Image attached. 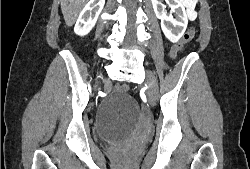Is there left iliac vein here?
Segmentation results:
<instances>
[{"label": "left iliac vein", "instance_id": "obj_1", "mask_svg": "<svg viewBox=\"0 0 250 169\" xmlns=\"http://www.w3.org/2000/svg\"><path fill=\"white\" fill-rule=\"evenodd\" d=\"M145 83L149 85V89L147 91V98L150 105L155 104L157 95H158V88L156 83V77L150 70L145 71Z\"/></svg>", "mask_w": 250, "mask_h": 169}]
</instances>
